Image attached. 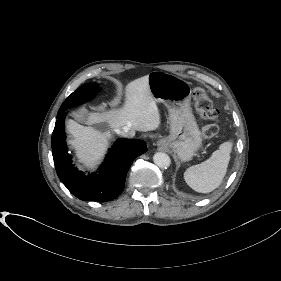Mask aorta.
I'll return each mask as SVG.
<instances>
[{
  "mask_svg": "<svg viewBox=\"0 0 281 281\" xmlns=\"http://www.w3.org/2000/svg\"><path fill=\"white\" fill-rule=\"evenodd\" d=\"M153 161L159 168L163 169L168 168L171 164L169 155L163 152L155 153L153 156Z\"/></svg>",
  "mask_w": 281,
  "mask_h": 281,
  "instance_id": "obj_1",
  "label": "aorta"
}]
</instances>
